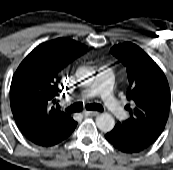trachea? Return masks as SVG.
Here are the masks:
<instances>
[{
    "label": "trachea",
    "mask_w": 173,
    "mask_h": 170,
    "mask_svg": "<svg viewBox=\"0 0 173 170\" xmlns=\"http://www.w3.org/2000/svg\"><path fill=\"white\" fill-rule=\"evenodd\" d=\"M82 108H83L82 102H77V103H74L71 106H69L67 110L69 112L74 113V112H80L82 110ZM86 109L93 110V111H103L104 110L102 105L96 104V103L86 105Z\"/></svg>",
    "instance_id": "1"
}]
</instances>
